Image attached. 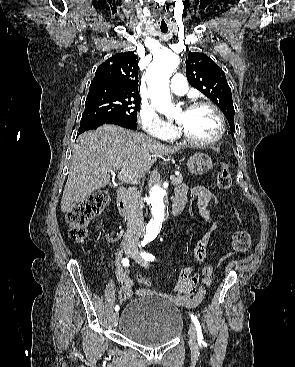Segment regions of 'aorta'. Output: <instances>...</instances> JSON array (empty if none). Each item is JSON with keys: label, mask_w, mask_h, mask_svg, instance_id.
Returning a JSON list of instances; mask_svg holds the SVG:
<instances>
[{"label": "aorta", "mask_w": 295, "mask_h": 367, "mask_svg": "<svg viewBox=\"0 0 295 367\" xmlns=\"http://www.w3.org/2000/svg\"><path fill=\"white\" fill-rule=\"evenodd\" d=\"M179 65V57L169 51L162 52L154 57L146 74L148 88L151 93V103L161 114L171 117L178 112L171 101L169 79ZM152 218L146 226L144 241L153 240L162 228L166 215L165 190L159 183H155L149 190Z\"/></svg>", "instance_id": "1"}]
</instances>
